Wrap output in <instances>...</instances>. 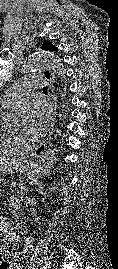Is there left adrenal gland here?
I'll list each match as a JSON object with an SVG mask.
<instances>
[{
  "mask_svg": "<svg viewBox=\"0 0 118 269\" xmlns=\"http://www.w3.org/2000/svg\"><path fill=\"white\" fill-rule=\"evenodd\" d=\"M22 190H23V188L21 187V188H20V191L22 192Z\"/></svg>",
  "mask_w": 118,
  "mask_h": 269,
  "instance_id": "left-adrenal-gland-1",
  "label": "left adrenal gland"
}]
</instances>
